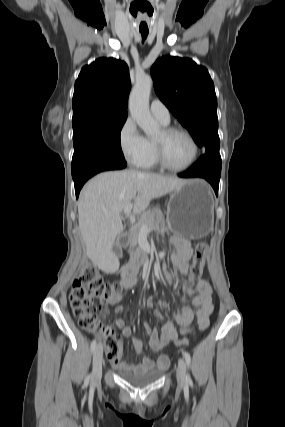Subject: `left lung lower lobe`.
<instances>
[{
	"label": "left lung lower lobe",
	"mask_w": 285,
	"mask_h": 427,
	"mask_svg": "<svg viewBox=\"0 0 285 427\" xmlns=\"http://www.w3.org/2000/svg\"><path fill=\"white\" fill-rule=\"evenodd\" d=\"M221 175V157L220 154H205L187 171L179 173V177L205 178L218 193L219 180Z\"/></svg>",
	"instance_id": "1"
}]
</instances>
